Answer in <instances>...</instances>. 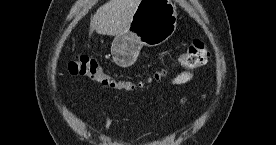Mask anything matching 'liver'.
I'll return each instance as SVG.
<instances>
[{
  "mask_svg": "<svg viewBox=\"0 0 276 145\" xmlns=\"http://www.w3.org/2000/svg\"><path fill=\"white\" fill-rule=\"evenodd\" d=\"M140 0H109L99 7L90 22L89 36L93 31L101 35L122 34Z\"/></svg>",
  "mask_w": 276,
  "mask_h": 145,
  "instance_id": "obj_1",
  "label": "liver"
}]
</instances>
